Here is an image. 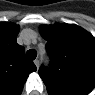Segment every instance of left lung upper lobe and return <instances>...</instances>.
Listing matches in <instances>:
<instances>
[{
	"label": "left lung upper lobe",
	"instance_id": "1",
	"mask_svg": "<svg viewBox=\"0 0 95 95\" xmlns=\"http://www.w3.org/2000/svg\"><path fill=\"white\" fill-rule=\"evenodd\" d=\"M52 58L39 75L50 95H86L95 87V39L77 25L42 26Z\"/></svg>",
	"mask_w": 95,
	"mask_h": 95
}]
</instances>
